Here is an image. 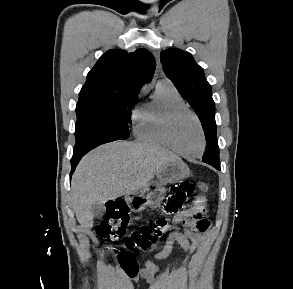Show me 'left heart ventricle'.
I'll return each mask as SVG.
<instances>
[{"label": "left heart ventricle", "instance_id": "b2bd125f", "mask_svg": "<svg viewBox=\"0 0 293 289\" xmlns=\"http://www.w3.org/2000/svg\"><path fill=\"white\" fill-rule=\"evenodd\" d=\"M173 138L177 147L183 152L196 155L201 149V135L194 118L182 113L173 124Z\"/></svg>", "mask_w": 293, "mask_h": 289}]
</instances>
